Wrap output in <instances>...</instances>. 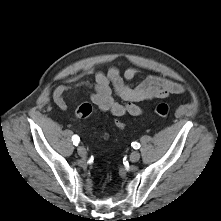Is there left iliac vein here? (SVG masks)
<instances>
[{"label": "left iliac vein", "instance_id": "left-iliac-vein-1", "mask_svg": "<svg viewBox=\"0 0 221 221\" xmlns=\"http://www.w3.org/2000/svg\"><path fill=\"white\" fill-rule=\"evenodd\" d=\"M140 159V153L138 151H133L130 155L131 162H137Z\"/></svg>", "mask_w": 221, "mask_h": 221}]
</instances>
